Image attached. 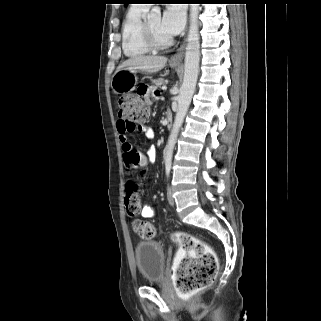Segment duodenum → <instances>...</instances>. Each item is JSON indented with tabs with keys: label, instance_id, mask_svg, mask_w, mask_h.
Returning a JSON list of instances; mask_svg holds the SVG:
<instances>
[{
	"label": "duodenum",
	"instance_id": "410a0bca",
	"mask_svg": "<svg viewBox=\"0 0 321 321\" xmlns=\"http://www.w3.org/2000/svg\"><path fill=\"white\" fill-rule=\"evenodd\" d=\"M165 125L167 126V128H171L172 127V115L169 114V113L166 115Z\"/></svg>",
	"mask_w": 321,
	"mask_h": 321
}]
</instances>
